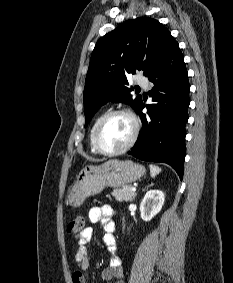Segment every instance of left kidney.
Here are the masks:
<instances>
[{
    "label": "left kidney",
    "mask_w": 233,
    "mask_h": 283,
    "mask_svg": "<svg viewBox=\"0 0 233 283\" xmlns=\"http://www.w3.org/2000/svg\"><path fill=\"white\" fill-rule=\"evenodd\" d=\"M164 201L165 196L162 191H148L140 204L141 218L144 221H150L155 215H157L161 211Z\"/></svg>",
    "instance_id": "left-kidney-1"
}]
</instances>
